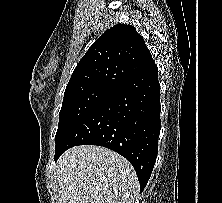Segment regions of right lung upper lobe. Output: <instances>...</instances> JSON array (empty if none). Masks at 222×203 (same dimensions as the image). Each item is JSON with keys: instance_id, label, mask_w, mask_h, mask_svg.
<instances>
[{"instance_id": "1", "label": "right lung upper lobe", "mask_w": 222, "mask_h": 203, "mask_svg": "<svg viewBox=\"0 0 222 203\" xmlns=\"http://www.w3.org/2000/svg\"><path fill=\"white\" fill-rule=\"evenodd\" d=\"M154 63L143 37L132 25L117 24L102 34L77 64L66 90H114Z\"/></svg>"}]
</instances>
